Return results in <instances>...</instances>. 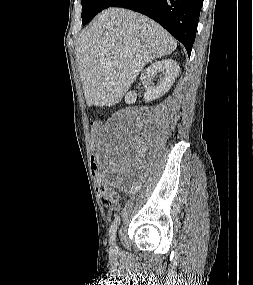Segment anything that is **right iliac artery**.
<instances>
[{"mask_svg":"<svg viewBox=\"0 0 253 285\" xmlns=\"http://www.w3.org/2000/svg\"><path fill=\"white\" fill-rule=\"evenodd\" d=\"M118 221H119V217L116 216V218H115V220L112 222V225H111L110 230H109V236H110V242H111V244H113L114 241H115Z\"/></svg>","mask_w":253,"mask_h":285,"instance_id":"1","label":"right iliac artery"}]
</instances>
